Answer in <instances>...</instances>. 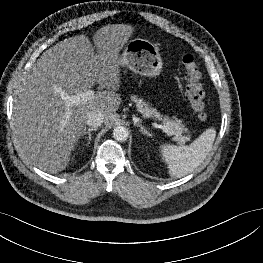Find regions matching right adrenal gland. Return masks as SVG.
I'll return each instance as SVG.
<instances>
[{
    "instance_id": "1",
    "label": "right adrenal gland",
    "mask_w": 263,
    "mask_h": 263,
    "mask_svg": "<svg viewBox=\"0 0 263 263\" xmlns=\"http://www.w3.org/2000/svg\"><path fill=\"white\" fill-rule=\"evenodd\" d=\"M92 131H96V128H89L87 131H85L84 133H83V135H82V138L84 139H86L87 138V136L86 135H88V143H87V146H89V144H90V141H91V132Z\"/></svg>"
}]
</instances>
